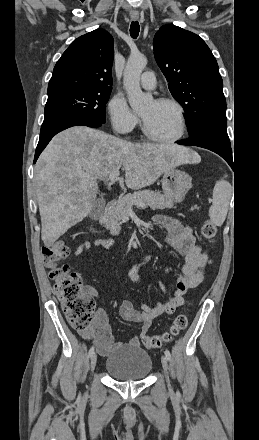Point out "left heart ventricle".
<instances>
[{
	"label": "left heart ventricle",
	"instance_id": "obj_1",
	"mask_svg": "<svg viewBox=\"0 0 259 440\" xmlns=\"http://www.w3.org/2000/svg\"><path fill=\"white\" fill-rule=\"evenodd\" d=\"M141 116L150 131L158 137L170 138L179 131L178 113L173 105L152 101L141 111Z\"/></svg>",
	"mask_w": 259,
	"mask_h": 440
}]
</instances>
